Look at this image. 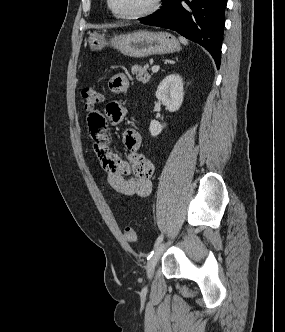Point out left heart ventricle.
Masks as SVG:
<instances>
[{"mask_svg":"<svg viewBox=\"0 0 285 332\" xmlns=\"http://www.w3.org/2000/svg\"><path fill=\"white\" fill-rule=\"evenodd\" d=\"M153 0H112L113 8L120 14H134L148 9Z\"/></svg>","mask_w":285,"mask_h":332,"instance_id":"1","label":"left heart ventricle"}]
</instances>
